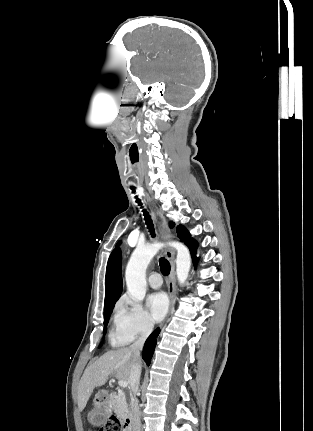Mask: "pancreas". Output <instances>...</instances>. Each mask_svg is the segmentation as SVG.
Wrapping results in <instances>:
<instances>
[{"label":"pancreas","mask_w":313,"mask_h":431,"mask_svg":"<svg viewBox=\"0 0 313 431\" xmlns=\"http://www.w3.org/2000/svg\"><path fill=\"white\" fill-rule=\"evenodd\" d=\"M111 408L119 417H124L126 415L128 412V405L123 393L115 395L112 398Z\"/></svg>","instance_id":"cf45deb5"}]
</instances>
